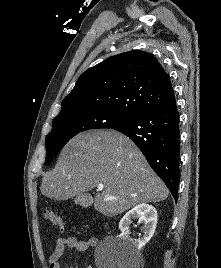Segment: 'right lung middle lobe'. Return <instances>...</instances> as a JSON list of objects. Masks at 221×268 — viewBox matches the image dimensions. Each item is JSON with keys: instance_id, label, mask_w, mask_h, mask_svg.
I'll list each match as a JSON object with an SVG mask.
<instances>
[{"instance_id": "dd1d6c3e", "label": "right lung middle lobe", "mask_w": 221, "mask_h": 268, "mask_svg": "<svg viewBox=\"0 0 221 268\" xmlns=\"http://www.w3.org/2000/svg\"><path fill=\"white\" fill-rule=\"evenodd\" d=\"M129 120L130 118L123 114L106 109L57 115L52 123V131L46 137L45 164L78 133L91 129L113 128Z\"/></svg>"}]
</instances>
